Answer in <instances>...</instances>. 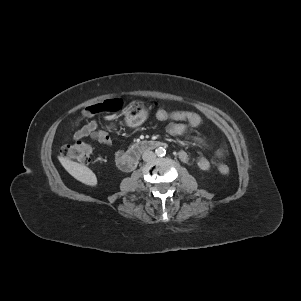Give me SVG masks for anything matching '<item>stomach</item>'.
Returning <instances> with one entry per match:
<instances>
[{
	"label": "stomach",
	"mask_w": 301,
	"mask_h": 301,
	"mask_svg": "<svg viewBox=\"0 0 301 301\" xmlns=\"http://www.w3.org/2000/svg\"><path fill=\"white\" fill-rule=\"evenodd\" d=\"M147 118L148 109L143 105L131 107L125 114L126 125L131 128L139 127Z\"/></svg>",
	"instance_id": "0dacf381"
}]
</instances>
